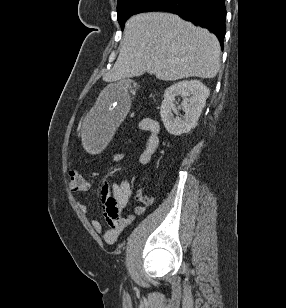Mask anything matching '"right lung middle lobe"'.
Listing matches in <instances>:
<instances>
[{
    "label": "right lung middle lobe",
    "instance_id": "dd1d6c3e",
    "mask_svg": "<svg viewBox=\"0 0 286 308\" xmlns=\"http://www.w3.org/2000/svg\"><path fill=\"white\" fill-rule=\"evenodd\" d=\"M168 0H121L117 4V19L121 28L125 21L132 15L153 11Z\"/></svg>",
    "mask_w": 286,
    "mask_h": 308
}]
</instances>
